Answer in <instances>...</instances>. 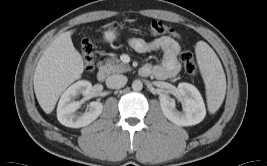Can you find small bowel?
<instances>
[{
    "label": "small bowel",
    "instance_id": "1",
    "mask_svg": "<svg viewBox=\"0 0 267 166\" xmlns=\"http://www.w3.org/2000/svg\"><path fill=\"white\" fill-rule=\"evenodd\" d=\"M179 38V35L176 33L165 35L152 41L131 38L128 41L129 46L138 53L153 51H160L162 53L160 64L146 63L142 66L140 73L144 76L153 75L159 80L175 78L181 69Z\"/></svg>",
    "mask_w": 267,
    "mask_h": 166
}]
</instances>
